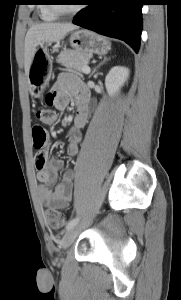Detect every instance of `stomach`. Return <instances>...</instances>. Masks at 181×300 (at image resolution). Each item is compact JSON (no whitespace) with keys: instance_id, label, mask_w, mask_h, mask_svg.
<instances>
[{"instance_id":"stomach-1","label":"stomach","mask_w":181,"mask_h":300,"mask_svg":"<svg viewBox=\"0 0 181 300\" xmlns=\"http://www.w3.org/2000/svg\"><path fill=\"white\" fill-rule=\"evenodd\" d=\"M69 42L74 50L91 56L103 55L110 49V42L103 36L88 30L73 31ZM52 71V60L47 46L39 43L35 47L31 67L28 74L30 92L35 97H40L46 87Z\"/></svg>"}]
</instances>
